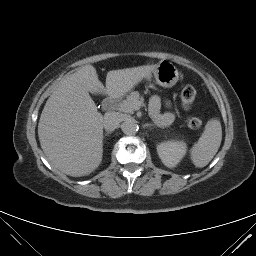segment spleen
Listing matches in <instances>:
<instances>
[{
  "label": "spleen",
  "mask_w": 256,
  "mask_h": 256,
  "mask_svg": "<svg viewBox=\"0 0 256 256\" xmlns=\"http://www.w3.org/2000/svg\"><path fill=\"white\" fill-rule=\"evenodd\" d=\"M222 140V127L217 119L209 120L198 142L192 147L191 160L196 167H205L217 153Z\"/></svg>",
  "instance_id": "1"
}]
</instances>
